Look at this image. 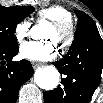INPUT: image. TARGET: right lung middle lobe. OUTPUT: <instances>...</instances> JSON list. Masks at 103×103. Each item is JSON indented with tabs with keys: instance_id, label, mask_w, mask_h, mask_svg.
I'll return each mask as SVG.
<instances>
[{
	"instance_id": "obj_1",
	"label": "right lung middle lobe",
	"mask_w": 103,
	"mask_h": 103,
	"mask_svg": "<svg viewBox=\"0 0 103 103\" xmlns=\"http://www.w3.org/2000/svg\"><path fill=\"white\" fill-rule=\"evenodd\" d=\"M34 11L32 6L11 9L0 6V49L10 50L18 47L14 32L18 23Z\"/></svg>"
}]
</instances>
